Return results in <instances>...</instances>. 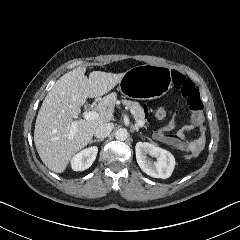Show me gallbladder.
<instances>
[{"label":"gallbladder","mask_w":240,"mask_h":240,"mask_svg":"<svg viewBox=\"0 0 240 240\" xmlns=\"http://www.w3.org/2000/svg\"><path fill=\"white\" fill-rule=\"evenodd\" d=\"M84 109L85 110H90L91 109V104L90 103H85L84 104Z\"/></svg>","instance_id":"gallbladder-1"}]
</instances>
